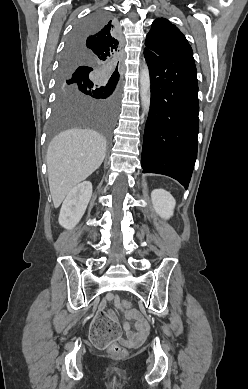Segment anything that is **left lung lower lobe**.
Here are the masks:
<instances>
[{"mask_svg": "<svg viewBox=\"0 0 248 389\" xmlns=\"http://www.w3.org/2000/svg\"><path fill=\"white\" fill-rule=\"evenodd\" d=\"M151 82L142 168L179 181L186 189L197 158L198 83L192 54L160 56L144 49Z\"/></svg>", "mask_w": 248, "mask_h": 389, "instance_id": "obj_1", "label": "left lung lower lobe"}]
</instances>
